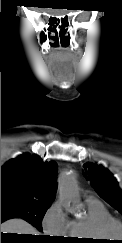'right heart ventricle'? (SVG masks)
Returning <instances> with one entry per match:
<instances>
[{"instance_id":"1","label":"right heart ventricle","mask_w":122,"mask_h":243,"mask_svg":"<svg viewBox=\"0 0 122 243\" xmlns=\"http://www.w3.org/2000/svg\"><path fill=\"white\" fill-rule=\"evenodd\" d=\"M87 215L85 219H76L69 222L67 236L79 240L104 239L101 234V225L113 219L107 208L97 200H86Z\"/></svg>"}]
</instances>
